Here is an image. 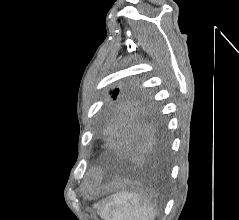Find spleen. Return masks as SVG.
<instances>
[{"mask_svg": "<svg viewBox=\"0 0 239 220\" xmlns=\"http://www.w3.org/2000/svg\"><path fill=\"white\" fill-rule=\"evenodd\" d=\"M104 220H155V209L149 200L134 192H118L97 205Z\"/></svg>", "mask_w": 239, "mask_h": 220, "instance_id": "3e777b00", "label": "spleen"}]
</instances>
